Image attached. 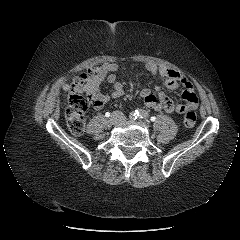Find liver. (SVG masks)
<instances>
[{
    "label": "liver",
    "instance_id": "6515ba94",
    "mask_svg": "<svg viewBox=\"0 0 240 240\" xmlns=\"http://www.w3.org/2000/svg\"><path fill=\"white\" fill-rule=\"evenodd\" d=\"M63 89H64L65 91H68V90H69V85H68V84H65V85L63 86Z\"/></svg>",
    "mask_w": 240,
    "mask_h": 240
}]
</instances>
